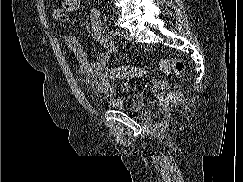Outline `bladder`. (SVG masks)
I'll use <instances>...</instances> for the list:
<instances>
[{"mask_svg": "<svg viewBox=\"0 0 243 182\" xmlns=\"http://www.w3.org/2000/svg\"><path fill=\"white\" fill-rule=\"evenodd\" d=\"M107 106L127 113H139L144 108V100L137 94H131L125 97L111 98L108 100Z\"/></svg>", "mask_w": 243, "mask_h": 182, "instance_id": "bladder-1", "label": "bladder"}]
</instances>
